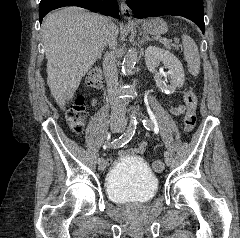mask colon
Segmentation results:
<instances>
[{
  "label": "colon",
  "instance_id": "obj_1",
  "mask_svg": "<svg viewBox=\"0 0 240 238\" xmlns=\"http://www.w3.org/2000/svg\"><path fill=\"white\" fill-rule=\"evenodd\" d=\"M87 84L92 88H98L102 84L101 72L98 69L91 71L87 77ZM184 101L187 105V112L183 119L185 132H191L196 124V106L197 95L193 89L189 88L184 94ZM86 118L85 98L83 95L76 96L66 111V120L69 127L76 133L82 132L84 129ZM153 170L161 173L164 170L162 161L157 160L152 165Z\"/></svg>",
  "mask_w": 240,
  "mask_h": 238
}]
</instances>
